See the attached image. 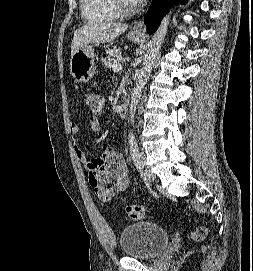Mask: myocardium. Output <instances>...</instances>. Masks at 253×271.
<instances>
[{
	"instance_id": "obj_1",
	"label": "myocardium",
	"mask_w": 253,
	"mask_h": 271,
	"mask_svg": "<svg viewBox=\"0 0 253 271\" xmlns=\"http://www.w3.org/2000/svg\"><path fill=\"white\" fill-rule=\"evenodd\" d=\"M115 2L121 15H130L139 9L138 5L131 4L129 0H115Z\"/></svg>"
}]
</instances>
